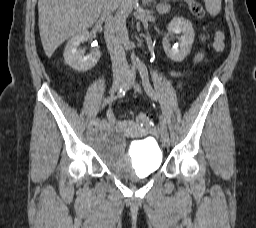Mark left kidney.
I'll list each match as a JSON object with an SVG mask.
<instances>
[{
	"label": "left kidney",
	"instance_id": "1",
	"mask_svg": "<svg viewBox=\"0 0 256 228\" xmlns=\"http://www.w3.org/2000/svg\"><path fill=\"white\" fill-rule=\"evenodd\" d=\"M172 34H182L176 46L170 44ZM194 29L190 21L175 17L168 25V34L163 39V48L166 55L175 62L183 61L190 53L194 42Z\"/></svg>",
	"mask_w": 256,
	"mask_h": 228
}]
</instances>
